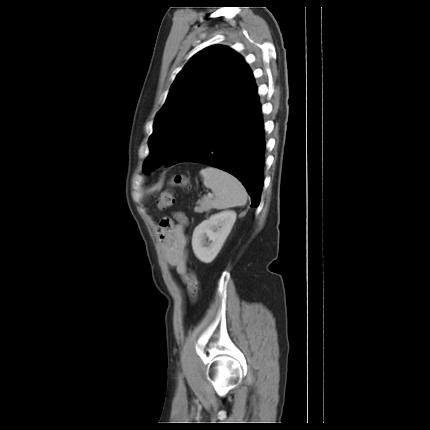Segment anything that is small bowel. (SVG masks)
Masks as SVG:
<instances>
[{
	"instance_id": "small-bowel-1",
	"label": "small bowel",
	"mask_w": 430,
	"mask_h": 430,
	"mask_svg": "<svg viewBox=\"0 0 430 430\" xmlns=\"http://www.w3.org/2000/svg\"><path fill=\"white\" fill-rule=\"evenodd\" d=\"M174 216L178 223L169 218L163 219L158 228V236L165 261L176 270L185 283H188L186 265L188 239L184 231L186 218L180 212Z\"/></svg>"
}]
</instances>
